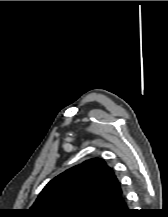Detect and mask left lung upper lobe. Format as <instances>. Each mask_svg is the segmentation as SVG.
<instances>
[{"label": "left lung upper lobe", "instance_id": "1", "mask_svg": "<svg viewBox=\"0 0 168 217\" xmlns=\"http://www.w3.org/2000/svg\"><path fill=\"white\" fill-rule=\"evenodd\" d=\"M122 193L112 168L90 159L52 179L29 209L33 217H99Z\"/></svg>", "mask_w": 168, "mask_h": 217}]
</instances>
